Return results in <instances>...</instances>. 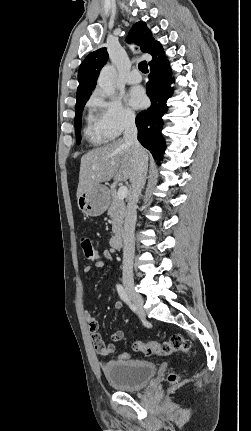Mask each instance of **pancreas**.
I'll list each match as a JSON object with an SVG mask.
<instances>
[{
    "instance_id": "cf45deb5",
    "label": "pancreas",
    "mask_w": 251,
    "mask_h": 431,
    "mask_svg": "<svg viewBox=\"0 0 251 431\" xmlns=\"http://www.w3.org/2000/svg\"><path fill=\"white\" fill-rule=\"evenodd\" d=\"M109 194L111 197L109 201L108 215L112 220V232L116 236H119L123 231L122 225L126 215V206L125 202L117 197V192L115 189H111Z\"/></svg>"
}]
</instances>
